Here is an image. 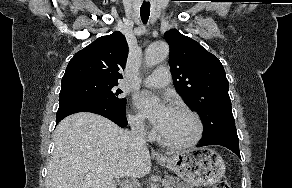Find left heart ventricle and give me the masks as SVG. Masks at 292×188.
<instances>
[{"label": "left heart ventricle", "instance_id": "obj_1", "mask_svg": "<svg viewBox=\"0 0 292 188\" xmlns=\"http://www.w3.org/2000/svg\"><path fill=\"white\" fill-rule=\"evenodd\" d=\"M158 132L167 140L174 142L187 141L196 132V125L188 114L172 109Z\"/></svg>", "mask_w": 292, "mask_h": 188}]
</instances>
